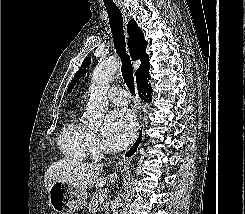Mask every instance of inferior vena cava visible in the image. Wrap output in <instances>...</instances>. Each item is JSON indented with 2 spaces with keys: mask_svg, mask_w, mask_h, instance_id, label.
Listing matches in <instances>:
<instances>
[{
  "mask_svg": "<svg viewBox=\"0 0 245 214\" xmlns=\"http://www.w3.org/2000/svg\"><path fill=\"white\" fill-rule=\"evenodd\" d=\"M120 196H122V195L121 194H118V197L115 198V204H116V206H119V202L121 201ZM113 214H118V213L114 211ZM119 214H124V213L120 212Z\"/></svg>",
  "mask_w": 245,
  "mask_h": 214,
  "instance_id": "602c4592",
  "label": "inferior vena cava"
}]
</instances>
